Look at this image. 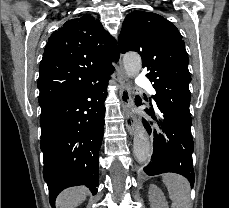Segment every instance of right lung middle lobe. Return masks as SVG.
Segmentation results:
<instances>
[{"label":"right lung middle lobe","mask_w":229,"mask_h":208,"mask_svg":"<svg viewBox=\"0 0 229 208\" xmlns=\"http://www.w3.org/2000/svg\"><path fill=\"white\" fill-rule=\"evenodd\" d=\"M54 104H43V105H40L41 106V113L49 110Z\"/></svg>","instance_id":"dd1d6c3e"}]
</instances>
